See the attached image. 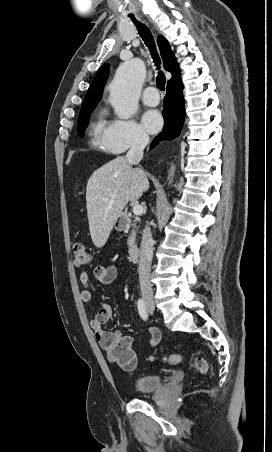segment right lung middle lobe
Segmentation results:
<instances>
[{
    "instance_id": "dd1d6c3e",
    "label": "right lung middle lobe",
    "mask_w": 272,
    "mask_h": 452,
    "mask_svg": "<svg viewBox=\"0 0 272 452\" xmlns=\"http://www.w3.org/2000/svg\"><path fill=\"white\" fill-rule=\"evenodd\" d=\"M97 104L83 105L81 107L80 115L78 118V134L83 137L85 128L88 125L89 113L96 107Z\"/></svg>"
}]
</instances>
